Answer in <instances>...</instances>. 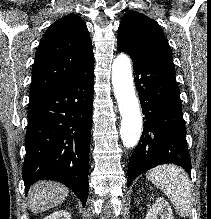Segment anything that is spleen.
Masks as SVG:
<instances>
[{"label": "spleen", "mask_w": 211, "mask_h": 219, "mask_svg": "<svg viewBox=\"0 0 211 219\" xmlns=\"http://www.w3.org/2000/svg\"><path fill=\"white\" fill-rule=\"evenodd\" d=\"M147 177L169 198L180 216H188L192 190L189 177L183 169L174 165H162L149 171Z\"/></svg>", "instance_id": "3e777b00"}]
</instances>
